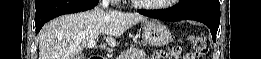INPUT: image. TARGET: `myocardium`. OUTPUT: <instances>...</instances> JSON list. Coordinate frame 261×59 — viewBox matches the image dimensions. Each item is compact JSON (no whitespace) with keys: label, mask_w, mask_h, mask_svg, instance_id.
Returning a JSON list of instances; mask_svg holds the SVG:
<instances>
[{"label":"myocardium","mask_w":261,"mask_h":59,"mask_svg":"<svg viewBox=\"0 0 261 59\" xmlns=\"http://www.w3.org/2000/svg\"><path fill=\"white\" fill-rule=\"evenodd\" d=\"M175 1L176 0H169L164 4H150V3H142V2H138V1H132V2L135 3L140 8L159 10V9L167 8L171 3L175 2Z\"/></svg>","instance_id":"myocardium-1"}]
</instances>
